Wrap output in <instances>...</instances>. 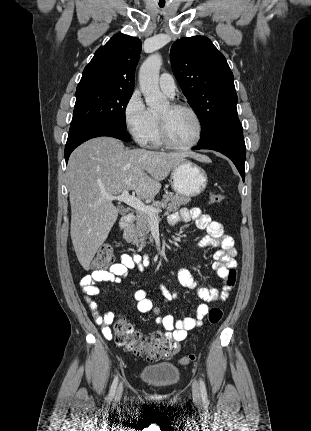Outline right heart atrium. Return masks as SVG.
Segmentation results:
<instances>
[{"label":"right heart atrium","instance_id":"1","mask_svg":"<svg viewBox=\"0 0 311 431\" xmlns=\"http://www.w3.org/2000/svg\"><path fill=\"white\" fill-rule=\"evenodd\" d=\"M150 118V111L145 106L139 91L134 90L125 102L123 120L129 135L140 145L148 142Z\"/></svg>","mask_w":311,"mask_h":431}]
</instances>
